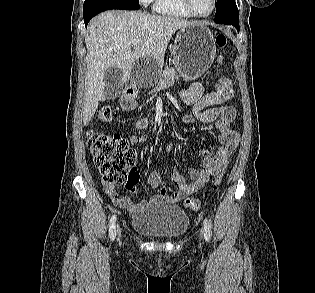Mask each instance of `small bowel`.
<instances>
[{"label": "small bowel", "mask_w": 315, "mask_h": 293, "mask_svg": "<svg viewBox=\"0 0 315 293\" xmlns=\"http://www.w3.org/2000/svg\"><path fill=\"white\" fill-rule=\"evenodd\" d=\"M215 86L221 85H214L213 83V90L204 93L201 83L193 82L180 92L183 102L191 105L193 110V114L184 116L182 122L191 124L196 119L202 123H213L218 142V146L213 150H200L202 167L188 168L191 182H187L180 172L174 171L171 174V181L177 189L172 190L163 181L160 171L155 170L148 177L147 184L152 191L159 189V193L153 195L149 201L143 200L139 203H134L129 197L120 196L114 185L104 183V190L115 206L126 209L132 215H135L152 202L178 203L188 195L202 189L210 177L226 168L232 153L239 144L240 138L239 134L232 129V123L236 118V110L232 106L224 105L226 101L233 97V93L224 94L221 91H215ZM146 141L147 137L143 134L131 135L129 138L132 145L145 143ZM174 141V139H171L166 144V151L171 149Z\"/></svg>", "instance_id": "1"}]
</instances>
